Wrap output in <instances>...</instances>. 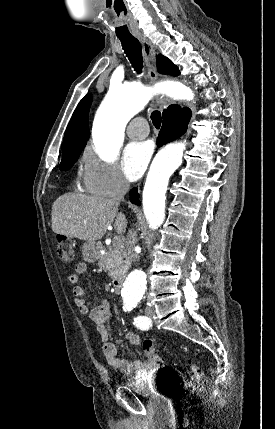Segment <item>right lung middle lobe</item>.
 <instances>
[{
    "label": "right lung middle lobe",
    "instance_id": "right-lung-middle-lobe-1",
    "mask_svg": "<svg viewBox=\"0 0 275 429\" xmlns=\"http://www.w3.org/2000/svg\"><path fill=\"white\" fill-rule=\"evenodd\" d=\"M80 152L72 155H68L65 157H62L59 169L60 170H68L70 169L73 164L77 161L79 158Z\"/></svg>",
    "mask_w": 275,
    "mask_h": 429
}]
</instances>
